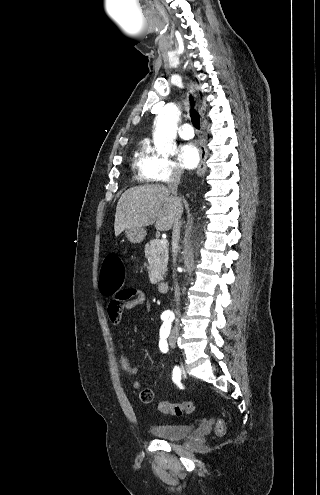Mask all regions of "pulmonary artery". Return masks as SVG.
Returning <instances> with one entry per match:
<instances>
[{"instance_id":"e3ab8cb5","label":"pulmonary artery","mask_w":320,"mask_h":495,"mask_svg":"<svg viewBox=\"0 0 320 495\" xmlns=\"http://www.w3.org/2000/svg\"><path fill=\"white\" fill-rule=\"evenodd\" d=\"M178 133L181 138L186 140L191 139L194 136L193 128L189 123L182 124L178 129Z\"/></svg>"}]
</instances>
